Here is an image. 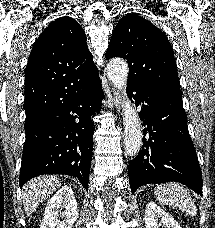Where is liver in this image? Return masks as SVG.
<instances>
[{
    "mask_svg": "<svg viewBox=\"0 0 215 228\" xmlns=\"http://www.w3.org/2000/svg\"><path fill=\"white\" fill-rule=\"evenodd\" d=\"M60 182L57 176H38L34 180H30L24 184L22 190V200L24 212L28 218H32L33 212L36 208L47 200L50 194H53L59 188Z\"/></svg>",
    "mask_w": 215,
    "mask_h": 228,
    "instance_id": "6515ba94",
    "label": "liver"
}]
</instances>
